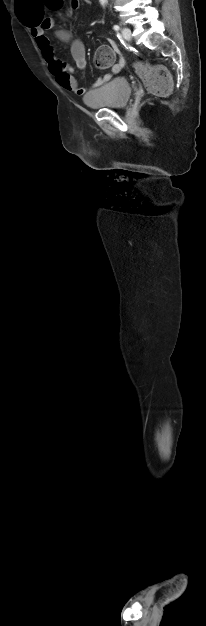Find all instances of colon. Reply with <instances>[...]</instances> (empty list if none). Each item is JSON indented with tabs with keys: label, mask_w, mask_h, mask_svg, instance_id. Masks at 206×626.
Instances as JSON below:
<instances>
[{
	"label": "colon",
	"mask_w": 206,
	"mask_h": 626,
	"mask_svg": "<svg viewBox=\"0 0 206 626\" xmlns=\"http://www.w3.org/2000/svg\"><path fill=\"white\" fill-rule=\"evenodd\" d=\"M46 4L51 8H58L62 4V0H45ZM34 22L30 19L26 24L30 25ZM115 58L114 50L108 45H101L95 55V65L99 69L109 68ZM135 69L139 77L144 82L150 93L156 96L167 95L172 88V79L169 72L160 65H149L146 63H136Z\"/></svg>",
	"instance_id": "obj_1"
}]
</instances>
